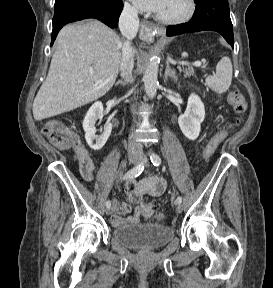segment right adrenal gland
Masks as SVG:
<instances>
[{
  "mask_svg": "<svg viewBox=\"0 0 273 288\" xmlns=\"http://www.w3.org/2000/svg\"><path fill=\"white\" fill-rule=\"evenodd\" d=\"M126 81H122V80H119L115 85L117 86V85H121V86H125L126 85Z\"/></svg>",
  "mask_w": 273,
  "mask_h": 288,
  "instance_id": "right-adrenal-gland-1",
  "label": "right adrenal gland"
}]
</instances>
